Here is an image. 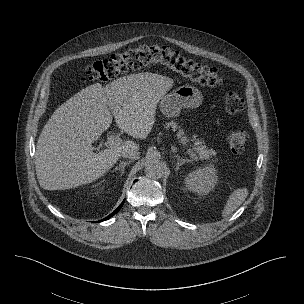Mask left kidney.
I'll list each match as a JSON object with an SVG mask.
<instances>
[{"mask_svg":"<svg viewBox=\"0 0 304 304\" xmlns=\"http://www.w3.org/2000/svg\"><path fill=\"white\" fill-rule=\"evenodd\" d=\"M184 181L188 190L205 195L215 187L217 171L212 165L205 166L190 172Z\"/></svg>","mask_w":304,"mask_h":304,"instance_id":"obj_1","label":"left kidney"}]
</instances>
